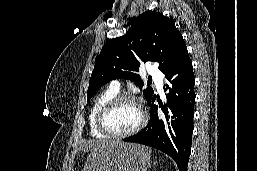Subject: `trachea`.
<instances>
[{
    "label": "trachea",
    "instance_id": "1",
    "mask_svg": "<svg viewBox=\"0 0 257 171\" xmlns=\"http://www.w3.org/2000/svg\"><path fill=\"white\" fill-rule=\"evenodd\" d=\"M148 81H150V82H151V81H152V79H148Z\"/></svg>",
    "mask_w": 257,
    "mask_h": 171
}]
</instances>
